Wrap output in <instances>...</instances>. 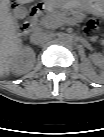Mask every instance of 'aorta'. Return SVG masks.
Segmentation results:
<instances>
[{"instance_id": "obj_1", "label": "aorta", "mask_w": 104, "mask_h": 137, "mask_svg": "<svg viewBox=\"0 0 104 137\" xmlns=\"http://www.w3.org/2000/svg\"><path fill=\"white\" fill-rule=\"evenodd\" d=\"M58 42H59L61 45L69 46V45H72L73 39H72V37H71L70 35H68V34H63V35L59 36Z\"/></svg>"}]
</instances>
